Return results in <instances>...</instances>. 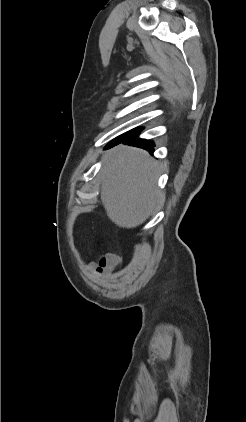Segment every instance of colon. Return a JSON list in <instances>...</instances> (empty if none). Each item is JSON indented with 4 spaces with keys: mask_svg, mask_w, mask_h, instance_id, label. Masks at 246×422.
Returning a JSON list of instances; mask_svg holds the SVG:
<instances>
[{
    "mask_svg": "<svg viewBox=\"0 0 246 422\" xmlns=\"http://www.w3.org/2000/svg\"><path fill=\"white\" fill-rule=\"evenodd\" d=\"M120 262V258L113 253H107L100 257L99 265L97 268L98 273H103L108 270L115 268Z\"/></svg>",
    "mask_w": 246,
    "mask_h": 422,
    "instance_id": "colon-1",
    "label": "colon"
}]
</instances>
